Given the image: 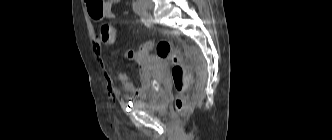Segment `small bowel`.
<instances>
[{
  "mask_svg": "<svg viewBox=\"0 0 332 140\" xmlns=\"http://www.w3.org/2000/svg\"><path fill=\"white\" fill-rule=\"evenodd\" d=\"M121 0H107L106 7L102 16V19H111L114 17L113 14V6L118 4ZM117 38L112 37H105L99 34L98 37L94 39L93 42V50L96 56H98L100 66L104 73V78L107 84V89L110 94L116 95L118 93V89L116 83L112 76L110 75L104 60L101 57V44H112L116 41ZM141 62V60H139ZM140 86H136L132 82L129 81L128 76L124 72H119L116 75V81L122 86L123 90L125 91L124 98L126 100H132L134 97H144L148 94L150 87H151V80L148 71L145 67L141 66L140 68Z\"/></svg>",
  "mask_w": 332,
  "mask_h": 140,
  "instance_id": "obj_1",
  "label": "small bowel"
}]
</instances>
